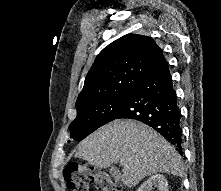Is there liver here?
Here are the masks:
<instances>
[{
	"label": "liver",
	"instance_id": "obj_1",
	"mask_svg": "<svg viewBox=\"0 0 221 191\" xmlns=\"http://www.w3.org/2000/svg\"><path fill=\"white\" fill-rule=\"evenodd\" d=\"M75 156L99 167L120 163V178L130 188L156 173L183 175L175 148L149 126L130 119L115 120L93 132L78 145Z\"/></svg>",
	"mask_w": 221,
	"mask_h": 191
}]
</instances>
